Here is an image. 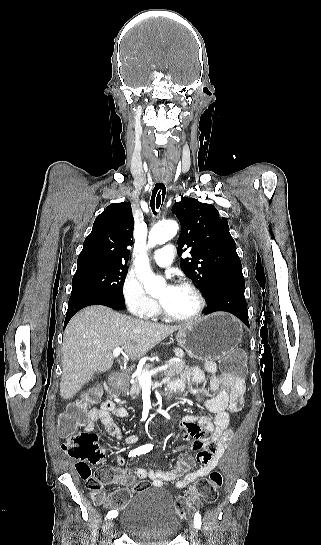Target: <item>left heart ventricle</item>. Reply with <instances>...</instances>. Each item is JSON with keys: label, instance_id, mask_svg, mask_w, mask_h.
I'll return each mask as SVG.
<instances>
[{"label": "left heart ventricle", "instance_id": "1", "mask_svg": "<svg viewBox=\"0 0 321 545\" xmlns=\"http://www.w3.org/2000/svg\"><path fill=\"white\" fill-rule=\"evenodd\" d=\"M160 303L166 311L179 316L192 315L198 305L193 292L178 287H175L173 291L165 287Z\"/></svg>", "mask_w": 321, "mask_h": 545}]
</instances>
